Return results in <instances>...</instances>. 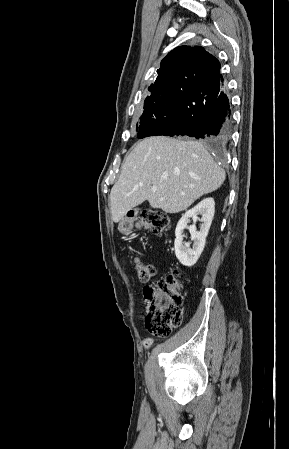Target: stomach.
<instances>
[{
  "label": "stomach",
  "mask_w": 289,
  "mask_h": 449,
  "mask_svg": "<svg viewBox=\"0 0 289 449\" xmlns=\"http://www.w3.org/2000/svg\"><path fill=\"white\" fill-rule=\"evenodd\" d=\"M133 228V219L132 218H123L119 225H118V230L122 233V234H129L131 232Z\"/></svg>",
  "instance_id": "0dacf381"
}]
</instances>
